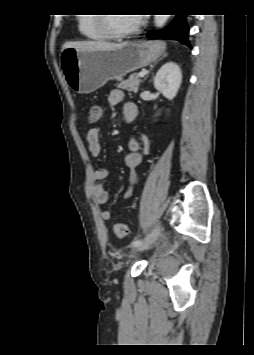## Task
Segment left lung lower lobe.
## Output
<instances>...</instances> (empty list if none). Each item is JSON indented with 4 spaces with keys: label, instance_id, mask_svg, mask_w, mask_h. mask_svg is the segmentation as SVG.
I'll use <instances>...</instances> for the list:
<instances>
[{
    "label": "left lung lower lobe",
    "instance_id": "obj_1",
    "mask_svg": "<svg viewBox=\"0 0 254 355\" xmlns=\"http://www.w3.org/2000/svg\"><path fill=\"white\" fill-rule=\"evenodd\" d=\"M186 16L185 14L177 15L168 27L159 31L149 32L147 37L149 39H175L190 47L187 37L189 29L186 23Z\"/></svg>",
    "mask_w": 254,
    "mask_h": 355
}]
</instances>
